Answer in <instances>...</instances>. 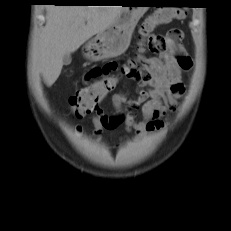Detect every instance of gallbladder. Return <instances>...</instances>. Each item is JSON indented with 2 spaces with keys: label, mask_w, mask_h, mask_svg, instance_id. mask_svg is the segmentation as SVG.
Masks as SVG:
<instances>
[{
  "label": "gallbladder",
  "mask_w": 231,
  "mask_h": 231,
  "mask_svg": "<svg viewBox=\"0 0 231 231\" xmlns=\"http://www.w3.org/2000/svg\"><path fill=\"white\" fill-rule=\"evenodd\" d=\"M72 59L69 54L64 55L63 57V65H69L71 63Z\"/></svg>",
  "instance_id": "1"
}]
</instances>
